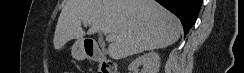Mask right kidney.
Returning a JSON list of instances; mask_svg holds the SVG:
<instances>
[{"instance_id": "obj_1", "label": "right kidney", "mask_w": 244, "mask_h": 73, "mask_svg": "<svg viewBox=\"0 0 244 73\" xmlns=\"http://www.w3.org/2000/svg\"><path fill=\"white\" fill-rule=\"evenodd\" d=\"M141 65H143L142 73H158L160 68V57L158 53L152 51L137 57L129 65L128 70L133 73H138Z\"/></svg>"}]
</instances>
